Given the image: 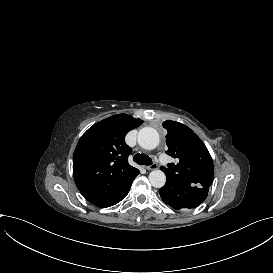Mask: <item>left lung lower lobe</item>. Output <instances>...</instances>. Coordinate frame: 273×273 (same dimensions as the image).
<instances>
[{"label": "left lung lower lobe", "instance_id": "left-lung-lower-lobe-1", "mask_svg": "<svg viewBox=\"0 0 273 273\" xmlns=\"http://www.w3.org/2000/svg\"><path fill=\"white\" fill-rule=\"evenodd\" d=\"M209 187L188 185L170 178L159 190L162 200L174 209L195 208L207 197Z\"/></svg>", "mask_w": 273, "mask_h": 273}]
</instances>
